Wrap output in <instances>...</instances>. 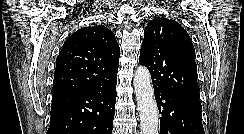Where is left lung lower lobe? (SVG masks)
Listing matches in <instances>:
<instances>
[{
  "label": "left lung lower lobe",
  "mask_w": 244,
  "mask_h": 134,
  "mask_svg": "<svg viewBox=\"0 0 244 134\" xmlns=\"http://www.w3.org/2000/svg\"><path fill=\"white\" fill-rule=\"evenodd\" d=\"M160 119V134H205L199 96L154 90Z\"/></svg>",
  "instance_id": "0a47b994"
}]
</instances>
